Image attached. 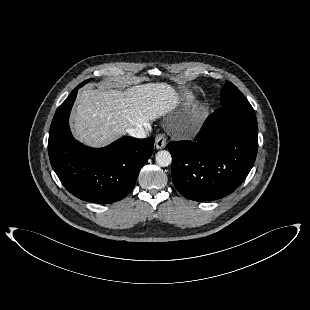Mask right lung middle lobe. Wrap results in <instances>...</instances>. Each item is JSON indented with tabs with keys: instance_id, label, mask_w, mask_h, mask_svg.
<instances>
[{
	"instance_id": "right-lung-middle-lobe-1",
	"label": "right lung middle lobe",
	"mask_w": 310,
	"mask_h": 310,
	"mask_svg": "<svg viewBox=\"0 0 310 310\" xmlns=\"http://www.w3.org/2000/svg\"><path fill=\"white\" fill-rule=\"evenodd\" d=\"M90 80H91V79H88V80L82 82V83L80 84V86H83L84 84H86V83L89 82Z\"/></svg>"
}]
</instances>
